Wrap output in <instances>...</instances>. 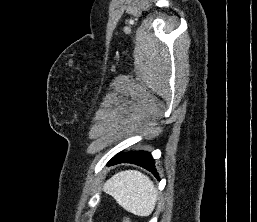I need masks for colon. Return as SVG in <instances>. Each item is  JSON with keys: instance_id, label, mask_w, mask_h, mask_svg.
I'll return each instance as SVG.
<instances>
[{"instance_id": "obj_1", "label": "colon", "mask_w": 257, "mask_h": 222, "mask_svg": "<svg viewBox=\"0 0 257 222\" xmlns=\"http://www.w3.org/2000/svg\"><path fill=\"white\" fill-rule=\"evenodd\" d=\"M123 222H130L129 218L128 217H125Z\"/></svg>"}]
</instances>
